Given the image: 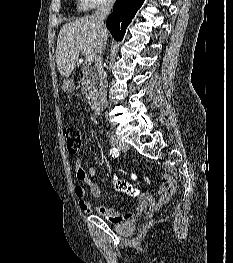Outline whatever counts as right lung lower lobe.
Wrapping results in <instances>:
<instances>
[{
  "label": "right lung lower lobe",
  "instance_id": "obj_1",
  "mask_svg": "<svg viewBox=\"0 0 233 263\" xmlns=\"http://www.w3.org/2000/svg\"><path fill=\"white\" fill-rule=\"evenodd\" d=\"M143 3L144 0H116L114 11L106 20V26L115 40L123 39L127 26Z\"/></svg>",
  "mask_w": 233,
  "mask_h": 263
}]
</instances>
